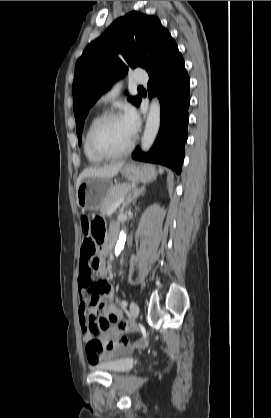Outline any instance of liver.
Returning <instances> with one entry per match:
<instances>
[{
	"instance_id": "1",
	"label": "liver",
	"mask_w": 271,
	"mask_h": 418,
	"mask_svg": "<svg viewBox=\"0 0 271 418\" xmlns=\"http://www.w3.org/2000/svg\"><path fill=\"white\" fill-rule=\"evenodd\" d=\"M123 162H118L115 164L107 165L104 167H88L85 168L79 175L76 182V189L79 187L83 179L88 177H102L111 179L118 174L120 169L123 166Z\"/></svg>"
}]
</instances>
